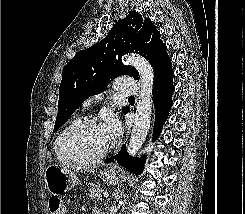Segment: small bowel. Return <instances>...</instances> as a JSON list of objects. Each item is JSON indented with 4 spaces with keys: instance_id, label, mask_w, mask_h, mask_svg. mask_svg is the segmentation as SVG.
<instances>
[{
    "instance_id": "obj_1",
    "label": "small bowel",
    "mask_w": 245,
    "mask_h": 214,
    "mask_svg": "<svg viewBox=\"0 0 245 214\" xmlns=\"http://www.w3.org/2000/svg\"><path fill=\"white\" fill-rule=\"evenodd\" d=\"M92 214H102V213L99 210L95 209V210H93Z\"/></svg>"
}]
</instances>
